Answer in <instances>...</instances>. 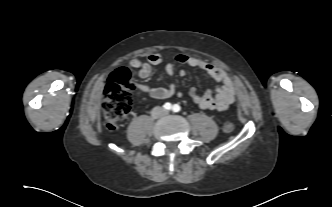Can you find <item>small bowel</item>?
Listing matches in <instances>:
<instances>
[{
    "label": "small bowel",
    "instance_id": "1",
    "mask_svg": "<svg viewBox=\"0 0 332 207\" xmlns=\"http://www.w3.org/2000/svg\"><path fill=\"white\" fill-rule=\"evenodd\" d=\"M175 61L179 64L188 65L202 70L209 80L215 81L219 84L215 92L208 89L203 94H199L195 88L190 89V97L200 108L213 111H224L233 103L235 99V87L227 72L209 62L182 53L175 56ZM162 64L163 59L161 55L157 53L150 54L146 61L133 58L129 62V65L132 68L138 70L137 75L141 79L148 78L152 74L153 68ZM165 72L168 78L167 87L152 88L144 84H139L137 89L147 93L153 99H166L173 96L176 92L173 62L165 63ZM185 74V70L182 69L179 71L180 76H185Z\"/></svg>",
    "mask_w": 332,
    "mask_h": 207
}]
</instances>
